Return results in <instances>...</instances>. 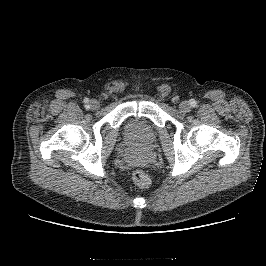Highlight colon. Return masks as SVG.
Wrapping results in <instances>:
<instances>
[{
	"label": "colon",
	"mask_w": 266,
	"mask_h": 266,
	"mask_svg": "<svg viewBox=\"0 0 266 266\" xmlns=\"http://www.w3.org/2000/svg\"><path fill=\"white\" fill-rule=\"evenodd\" d=\"M132 179L134 183L140 188H147L150 185V178L148 174L142 169H136L132 172Z\"/></svg>",
	"instance_id": "1"
}]
</instances>
